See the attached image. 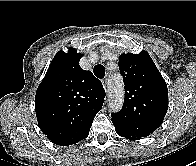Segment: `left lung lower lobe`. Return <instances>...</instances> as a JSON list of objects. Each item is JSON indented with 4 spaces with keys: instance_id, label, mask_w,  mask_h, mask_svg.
Instances as JSON below:
<instances>
[{
    "instance_id": "obj_1",
    "label": "left lung lower lobe",
    "mask_w": 196,
    "mask_h": 166,
    "mask_svg": "<svg viewBox=\"0 0 196 166\" xmlns=\"http://www.w3.org/2000/svg\"><path fill=\"white\" fill-rule=\"evenodd\" d=\"M115 130H116L117 134L120 135L121 137H125V138L130 139V140H138V139H141L140 137H137L135 135H132L129 132H126V131L122 130L119 127H115Z\"/></svg>"
}]
</instances>
